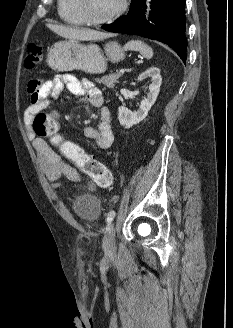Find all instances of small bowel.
I'll use <instances>...</instances> for the list:
<instances>
[{"mask_svg": "<svg viewBox=\"0 0 233 328\" xmlns=\"http://www.w3.org/2000/svg\"><path fill=\"white\" fill-rule=\"evenodd\" d=\"M66 87L80 102H89L99 109V124L97 128L85 127L84 135L93 140L98 148H109L114 140L110 110L104 105L101 90L89 80H78L69 74H59L53 79L45 81L32 80L28 84L29 103L24 111L23 120L26 126L30 125L34 116L52 104L56 95ZM33 147L37 152L43 172L56 189L65 187L63 178L70 181H80L77 171L68 165L60 155L43 138H34ZM93 190L94 185L90 184Z\"/></svg>", "mask_w": 233, "mask_h": 328, "instance_id": "1", "label": "small bowel"}]
</instances>
